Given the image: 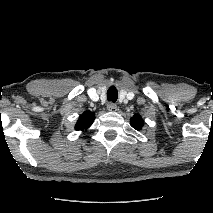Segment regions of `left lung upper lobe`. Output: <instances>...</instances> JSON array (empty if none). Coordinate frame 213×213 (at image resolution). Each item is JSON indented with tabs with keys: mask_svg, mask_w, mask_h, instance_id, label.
<instances>
[{
	"mask_svg": "<svg viewBox=\"0 0 213 213\" xmlns=\"http://www.w3.org/2000/svg\"><path fill=\"white\" fill-rule=\"evenodd\" d=\"M130 124L133 128L137 129V130H141L143 127V120L141 118L140 115H134L131 119H130Z\"/></svg>",
	"mask_w": 213,
	"mask_h": 213,
	"instance_id": "5c2ea615",
	"label": "left lung upper lobe"
}]
</instances>
